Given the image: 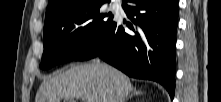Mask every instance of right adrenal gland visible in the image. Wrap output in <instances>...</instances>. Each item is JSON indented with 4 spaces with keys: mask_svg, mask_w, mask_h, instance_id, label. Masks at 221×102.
Listing matches in <instances>:
<instances>
[{
    "mask_svg": "<svg viewBox=\"0 0 221 102\" xmlns=\"http://www.w3.org/2000/svg\"><path fill=\"white\" fill-rule=\"evenodd\" d=\"M141 94H142L141 91H137L136 89H133V90H132V94H131L128 98H126V101H125V102H127L129 98L131 99L133 96H135V95H141Z\"/></svg>",
    "mask_w": 221,
    "mask_h": 102,
    "instance_id": "right-adrenal-gland-1",
    "label": "right adrenal gland"
}]
</instances>
